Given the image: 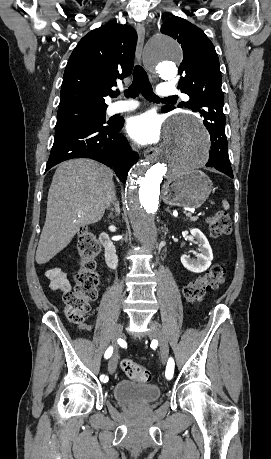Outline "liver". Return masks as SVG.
I'll list each match as a JSON object with an SVG mask.
<instances>
[{"label": "liver", "instance_id": "liver-1", "mask_svg": "<svg viewBox=\"0 0 271 459\" xmlns=\"http://www.w3.org/2000/svg\"><path fill=\"white\" fill-rule=\"evenodd\" d=\"M110 168L88 158L59 164L47 198V212L35 259L46 263L82 226L101 220L114 186Z\"/></svg>", "mask_w": 271, "mask_h": 459}]
</instances>
